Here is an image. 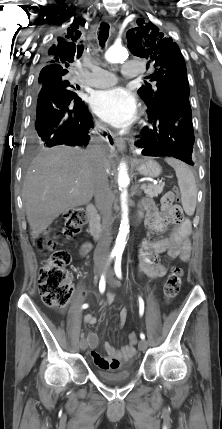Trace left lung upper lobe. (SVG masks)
<instances>
[{"mask_svg":"<svg viewBox=\"0 0 222 429\" xmlns=\"http://www.w3.org/2000/svg\"><path fill=\"white\" fill-rule=\"evenodd\" d=\"M136 27L128 30L129 50L140 58L151 59L155 67L152 81L156 87L142 86L138 94L149 108H157L168 94H180L189 97L184 57L172 38L163 37L159 29L151 22L138 19Z\"/></svg>","mask_w":222,"mask_h":429,"instance_id":"obj_1","label":"left lung upper lobe"}]
</instances>
